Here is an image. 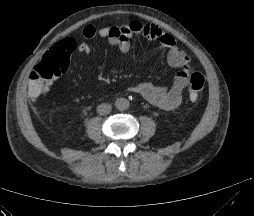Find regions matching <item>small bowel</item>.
Segmentation results:
<instances>
[{
	"label": "small bowel",
	"instance_id": "small-bowel-1",
	"mask_svg": "<svg viewBox=\"0 0 254 216\" xmlns=\"http://www.w3.org/2000/svg\"><path fill=\"white\" fill-rule=\"evenodd\" d=\"M82 33L89 40L96 37L106 39L111 45L117 47L121 54H127L130 51L131 39L136 34L161 43L167 49L168 65L180 69L174 76L172 83L169 85L141 83L128 87L125 91L139 95L161 110H173L181 105L183 90L188 82L190 57L178 46L174 37L154 25H144L137 20L117 26H103L100 28L89 24L83 28ZM52 49H58L68 57L74 52L83 54L90 52V46L87 43H78L73 38H66L57 42L50 48V50Z\"/></svg>",
	"mask_w": 254,
	"mask_h": 216
}]
</instances>
